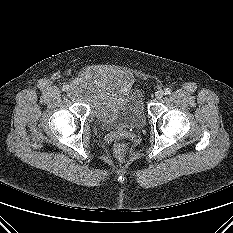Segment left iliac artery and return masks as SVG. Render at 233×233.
<instances>
[{"instance_id":"obj_1","label":"left iliac artery","mask_w":233,"mask_h":233,"mask_svg":"<svg viewBox=\"0 0 233 233\" xmlns=\"http://www.w3.org/2000/svg\"><path fill=\"white\" fill-rule=\"evenodd\" d=\"M171 93V90L169 89V88H166L165 90H164V94L165 95H169Z\"/></svg>"}]
</instances>
